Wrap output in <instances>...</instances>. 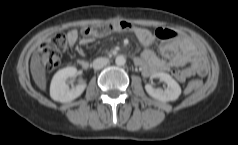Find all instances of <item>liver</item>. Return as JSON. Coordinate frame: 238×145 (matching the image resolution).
I'll return each mask as SVG.
<instances>
[{
    "mask_svg": "<svg viewBox=\"0 0 238 145\" xmlns=\"http://www.w3.org/2000/svg\"><path fill=\"white\" fill-rule=\"evenodd\" d=\"M30 70L35 84L43 91L46 90V72L41 63L39 50H36L31 57Z\"/></svg>",
    "mask_w": 238,
    "mask_h": 145,
    "instance_id": "1",
    "label": "liver"
}]
</instances>
